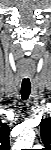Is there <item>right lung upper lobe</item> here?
Wrapping results in <instances>:
<instances>
[{
  "mask_svg": "<svg viewBox=\"0 0 51 150\" xmlns=\"http://www.w3.org/2000/svg\"><path fill=\"white\" fill-rule=\"evenodd\" d=\"M9 127L0 123V150H9Z\"/></svg>",
  "mask_w": 51,
  "mask_h": 150,
  "instance_id": "1",
  "label": "right lung upper lobe"
}]
</instances>
